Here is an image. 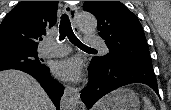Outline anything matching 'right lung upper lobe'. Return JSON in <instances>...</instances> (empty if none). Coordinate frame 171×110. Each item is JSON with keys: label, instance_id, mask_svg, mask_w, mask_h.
<instances>
[{"label": "right lung upper lobe", "instance_id": "obj_1", "mask_svg": "<svg viewBox=\"0 0 171 110\" xmlns=\"http://www.w3.org/2000/svg\"><path fill=\"white\" fill-rule=\"evenodd\" d=\"M59 1H21L0 25V46L37 48L57 20Z\"/></svg>", "mask_w": 171, "mask_h": 110}]
</instances>
